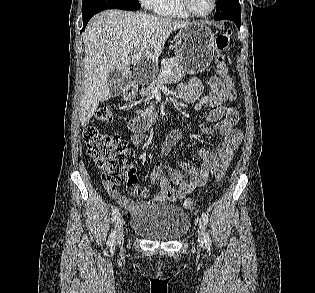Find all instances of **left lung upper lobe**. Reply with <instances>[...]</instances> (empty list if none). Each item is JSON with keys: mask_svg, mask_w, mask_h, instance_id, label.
I'll list each match as a JSON object with an SVG mask.
<instances>
[{"mask_svg": "<svg viewBox=\"0 0 315 293\" xmlns=\"http://www.w3.org/2000/svg\"><path fill=\"white\" fill-rule=\"evenodd\" d=\"M214 19H241L239 0H217V8Z\"/></svg>", "mask_w": 315, "mask_h": 293, "instance_id": "obj_1", "label": "left lung upper lobe"}]
</instances>
